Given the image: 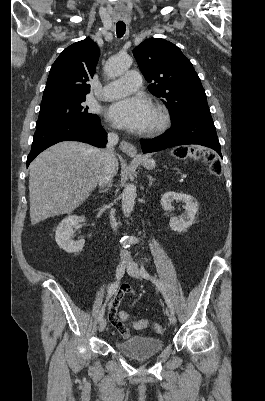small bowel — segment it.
Segmentation results:
<instances>
[{
  "mask_svg": "<svg viewBox=\"0 0 265 401\" xmlns=\"http://www.w3.org/2000/svg\"><path fill=\"white\" fill-rule=\"evenodd\" d=\"M132 293H133V290L129 286H127V285L121 286V288L118 290V292L116 293L114 299L112 300V302L110 304L109 312H116L122 298L125 295L132 294Z\"/></svg>",
  "mask_w": 265,
  "mask_h": 401,
  "instance_id": "1",
  "label": "small bowel"
}]
</instances>
